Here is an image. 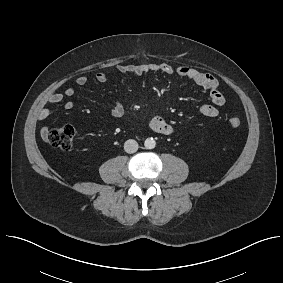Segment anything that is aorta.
I'll list each match as a JSON object with an SVG mask.
<instances>
[{"label":"aorta","instance_id":"obj_1","mask_svg":"<svg viewBox=\"0 0 283 283\" xmlns=\"http://www.w3.org/2000/svg\"><path fill=\"white\" fill-rule=\"evenodd\" d=\"M156 142L153 138H147L144 142V146L146 149H153L155 148Z\"/></svg>","mask_w":283,"mask_h":283}]
</instances>
